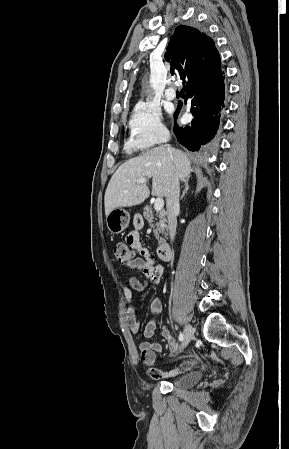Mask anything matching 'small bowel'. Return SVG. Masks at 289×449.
Wrapping results in <instances>:
<instances>
[{
  "label": "small bowel",
  "instance_id": "c3829d8e",
  "mask_svg": "<svg viewBox=\"0 0 289 449\" xmlns=\"http://www.w3.org/2000/svg\"><path fill=\"white\" fill-rule=\"evenodd\" d=\"M133 230L126 236V243L134 250L138 251L142 257H135L126 266L131 270H138L143 273L144 278H138L135 276L129 277L126 280V284L123 286V295L127 303L126 318L131 332L137 333L140 329V322L138 321L134 307L131 305L132 290L143 291L147 284L150 282L157 285L163 276V266L156 264L152 259L148 249L143 247L140 240V230L143 226L141 218L136 217L133 220ZM163 309L162 301L159 298H154L150 303V315L151 319L146 323L143 331L144 337L147 339L139 344V352L141 362L149 367V374L153 378H160L163 372L151 368L156 360V355L163 353V347L160 343L150 342L154 336L157 328V317L161 314ZM161 334L166 340L170 350H177L178 345L174 338L170 335L168 329L162 328ZM197 364L195 360H186L182 362L177 368L168 373L169 376H175L190 370Z\"/></svg>",
  "mask_w": 289,
  "mask_h": 449
}]
</instances>
